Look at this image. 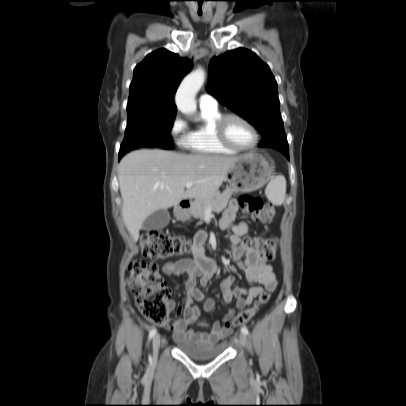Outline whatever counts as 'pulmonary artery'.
<instances>
[{"instance_id": "obj_1", "label": "pulmonary artery", "mask_w": 406, "mask_h": 406, "mask_svg": "<svg viewBox=\"0 0 406 406\" xmlns=\"http://www.w3.org/2000/svg\"><path fill=\"white\" fill-rule=\"evenodd\" d=\"M198 103L200 108H216L218 107L217 100L208 93H203L199 96Z\"/></svg>"}]
</instances>
